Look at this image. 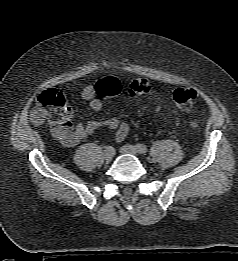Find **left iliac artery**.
<instances>
[{
  "instance_id": "1",
  "label": "left iliac artery",
  "mask_w": 238,
  "mask_h": 261,
  "mask_svg": "<svg viewBox=\"0 0 238 261\" xmlns=\"http://www.w3.org/2000/svg\"><path fill=\"white\" fill-rule=\"evenodd\" d=\"M135 147L137 151L141 154H145L148 151L147 147L144 144L138 143L135 145Z\"/></svg>"
}]
</instances>
